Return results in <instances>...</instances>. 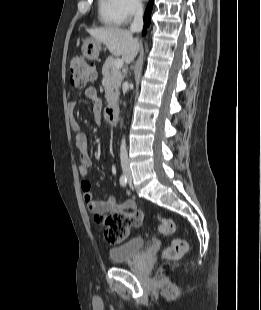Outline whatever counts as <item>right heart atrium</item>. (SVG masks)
I'll return each mask as SVG.
<instances>
[{
  "mask_svg": "<svg viewBox=\"0 0 261 310\" xmlns=\"http://www.w3.org/2000/svg\"><path fill=\"white\" fill-rule=\"evenodd\" d=\"M140 0H116V11L122 24L129 23L142 13Z\"/></svg>",
  "mask_w": 261,
  "mask_h": 310,
  "instance_id": "obj_1",
  "label": "right heart atrium"
}]
</instances>
